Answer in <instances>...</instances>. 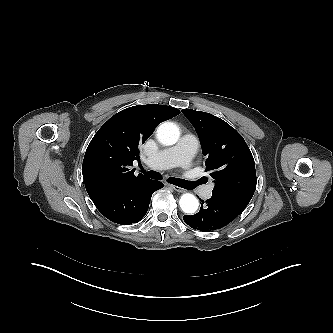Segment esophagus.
I'll use <instances>...</instances> for the list:
<instances>
[{"label": "esophagus", "mask_w": 333, "mask_h": 333, "mask_svg": "<svg viewBox=\"0 0 333 333\" xmlns=\"http://www.w3.org/2000/svg\"><path fill=\"white\" fill-rule=\"evenodd\" d=\"M169 187H171L172 189H174L177 192L183 193L185 192V190L183 188H180L178 186L172 185V184H168Z\"/></svg>", "instance_id": "obj_1"}]
</instances>
